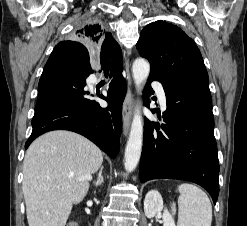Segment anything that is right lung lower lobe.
<instances>
[{
  "instance_id": "right-lung-lower-lobe-1",
  "label": "right lung lower lobe",
  "mask_w": 247,
  "mask_h": 226,
  "mask_svg": "<svg viewBox=\"0 0 247 226\" xmlns=\"http://www.w3.org/2000/svg\"><path fill=\"white\" fill-rule=\"evenodd\" d=\"M100 61L105 74L113 77L108 96L98 94L108 102V108H101L84 89L86 78L93 73L86 47L76 41H63L55 46L39 81L33 130L25 148L39 135L62 129L87 137L115 158L120 148L121 108L127 86L123 67L108 68L101 56Z\"/></svg>"
}]
</instances>
